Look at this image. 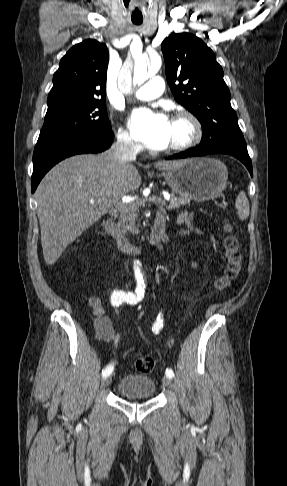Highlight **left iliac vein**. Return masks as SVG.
Returning a JSON list of instances; mask_svg holds the SVG:
<instances>
[{"label": "left iliac vein", "mask_w": 287, "mask_h": 486, "mask_svg": "<svg viewBox=\"0 0 287 486\" xmlns=\"http://www.w3.org/2000/svg\"><path fill=\"white\" fill-rule=\"evenodd\" d=\"M162 383L165 387H172V382H171V379L169 377H163L162 378Z\"/></svg>", "instance_id": "left-iliac-vein-1"}]
</instances>
